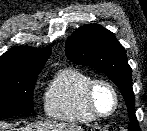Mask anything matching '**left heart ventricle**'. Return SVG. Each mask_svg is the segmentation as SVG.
<instances>
[{
  "label": "left heart ventricle",
  "mask_w": 147,
  "mask_h": 131,
  "mask_svg": "<svg viewBox=\"0 0 147 131\" xmlns=\"http://www.w3.org/2000/svg\"><path fill=\"white\" fill-rule=\"evenodd\" d=\"M94 103L99 112H110L114 107L113 93L105 85L97 86L94 92Z\"/></svg>",
  "instance_id": "obj_1"
}]
</instances>
